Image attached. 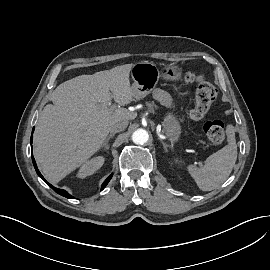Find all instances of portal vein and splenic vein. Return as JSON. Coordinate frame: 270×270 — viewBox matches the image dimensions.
Segmentation results:
<instances>
[{"instance_id": "obj_1", "label": "portal vein and splenic vein", "mask_w": 270, "mask_h": 270, "mask_svg": "<svg viewBox=\"0 0 270 270\" xmlns=\"http://www.w3.org/2000/svg\"><path fill=\"white\" fill-rule=\"evenodd\" d=\"M110 107H111L112 109H116V104H112Z\"/></svg>"}]
</instances>
